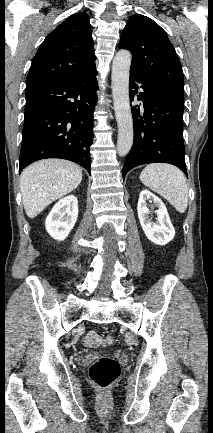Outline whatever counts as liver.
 <instances>
[{"label":"liver","instance_id":"1","mask_svg":"<svg viewBox=\"0 0 213 433\" xmlns=\"http://www.w3.org/2000/svg\"><path fill=\"white\" fill-rule=\"evenodd\" d=\"M82 181V170L63 159H44L26 167L20 176V189L29 218L40 214L52 202L74 191Z\"/></svg>","mask_w":213,"mask_h":433}]
</instances>
